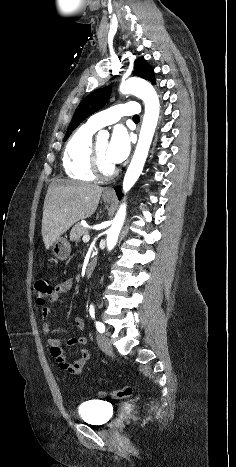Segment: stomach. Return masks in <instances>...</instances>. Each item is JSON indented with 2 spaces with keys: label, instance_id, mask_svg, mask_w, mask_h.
<instances>
[{
  "label": "stomach",
  "instance_id": "stomach-1",
  "mask_svg": "<svg viewBox=\"0 0 236 467\" xmlns=\"http://www.w3.org/2000/svg\"><path fill=\"white\" fill-rule=\"evenodd\" d=\"M103 200L107 203L112 202L113 198L103 196ZM52 253L59 260H66L71 252L70 243L66 238L58 237L52 244Z\"/></svg>",
  "mask_w": 236,
  "mask_h": 467
}]
</instances>
